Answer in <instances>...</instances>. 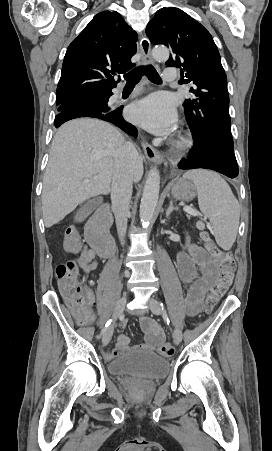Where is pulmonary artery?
Segmentation results:
<instances>
[{"instance_id": "pulmonary-artery-1", "label": "pulmonary artery", "mask_w": 272, "mask_h": 451, "mask_svg": "<svg viewBox=\"0 0 272 451\" xmlns=\"http://www.w3.org/2000/svg\"><path fill=\"white\" fill-rule=\"evenodd\" d=\"M176 67L173 65L166 66L165 70H162L161 76L162 79L167 81L171 85H176L179 82L178 77H176ZM120 92H115L112 96V99L115 100L120 96Z\"/></svg>"}]
</instances>
